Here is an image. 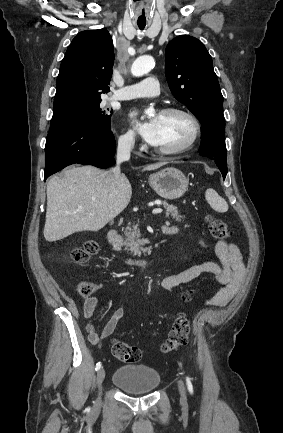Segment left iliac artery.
I'll return each instance as SVG.
<instances>
[{
	"mask_svg": "<svg viewBox=\"0 0 283 433\" xmlns=\"http://www.w3.org/2000/svg\"><path fill=\"white\" fill-rule=\"evenodd\" d=\"M186 382H187V385H188L189 392L193 393V386H192V383H191L189 377H186Z\"/></svg>",
	"mask_w": 283,
	"mask_h": 433,
	"instance_id": "1",
	"label": "left iliac artery"
}]
</instances>
